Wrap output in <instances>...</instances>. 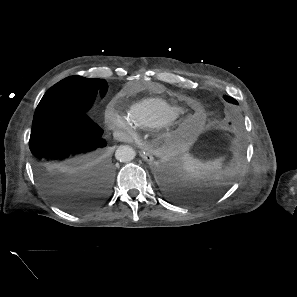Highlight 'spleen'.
Segmentation results:
<instances>
[{"instance_id": "3e777b00", "label": "spleen", "mask_w": 297, "mask_h": 297, "mask_svg": "<svg viewBox=\"0 0 297 297\" xmlns=\"http://www.w3.org/2000/svg\"><path fill=\"white\" fill-rule=\"evenodd\" d=\"M182 161L183 167L194 179L202 178L208 173L220 174L221 172V159L201 161L192 157L190 154H185L182 157Z\"/></svg>"}]
</instances>
